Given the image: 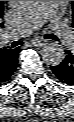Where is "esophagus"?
Wrapping results in <instances>:
<instances>
[{
  "label": "esophagus",
  "instance_id": "34e87169",
  "mask_svg": "<svg viewBox=\"0 0 74 122\" xmlns=\"http://www.w3.org/2000/svg\"><path fill=\"white\" fill-rule=\"evenodd\" d=\"M46 44H47V40L42 39V38L37 39V40H35V41L33 42V45H34V46H39V47L44 46V45H46Z\"/></svg>",
  "mask_w": 74,
  "mask_h": 122
}]
</instances>
